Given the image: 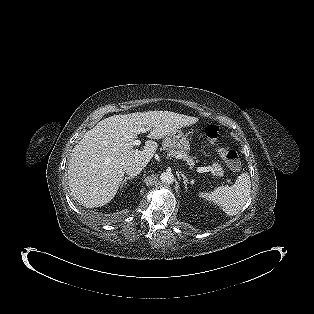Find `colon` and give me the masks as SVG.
Instances as JSON below:
<instances>
[{
	"label": "colon",
	"instance_id": "obj_1",
	"mask_svg": "<svg viewBox=\"0 0 314 314\" xmlns=\"http://www.w3.org/2000/svg\"><path fill=\"white\" fill-rule=\"evenodd\" d=\"M205 132H206L207 137L213 143L218 144L219 138L221 137V130L219 126L215 124H210L206 127ZM217 151L229 168L233 170H238L241 167V162H240L238 153L235 150L218 146Z\"/></svg>",
	"mask_w": 314,
	"mask_h": 314
}]
</instances>
